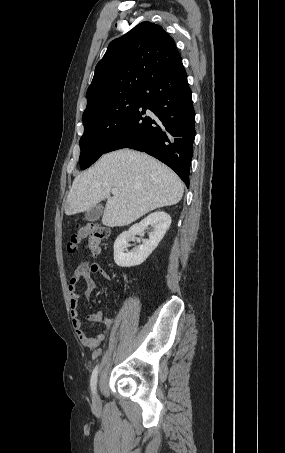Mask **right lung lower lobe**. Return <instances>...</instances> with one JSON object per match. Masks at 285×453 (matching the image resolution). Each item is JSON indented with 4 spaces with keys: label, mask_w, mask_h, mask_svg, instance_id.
<instances>
[{
    "label": "right lung lower lobe",
    "mask_w": 285,
    "mask_h": 453,
    "mask_svg": "<svg viewBox=\"0 0 285 453\" xmlns=\"http://www.w3.org/2000/svg\"><path fill=\"white\" fill-rule=\"evenodd\" d=\"M141 95L105 153L122 148L146 152L173 169L189 187L195 112L182 62L151 80Z\"/></svg>",
    "instance_id": "98d812e1"
}]
</instances>
